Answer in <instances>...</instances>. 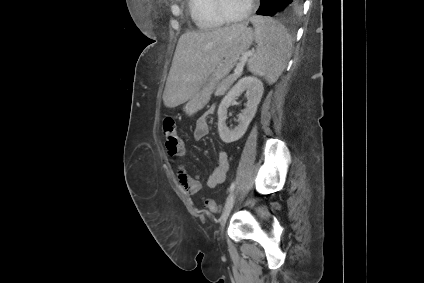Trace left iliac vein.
Wrapping results in <instances>:
<instances>
[{"label": "left iliac vein", "mask_w": 424, "mask_h": 283, "mask_svg": "<svg viewBox=\"0 0 424 283\" xmlns=\"http://www.w3.org/2000/svg\"><path fill=\"white\" fill-rule=\"evenodd\" d=\"M236 196H237V193L233 192L229 195V197L226 201L223 213L221 215V227L222 228L224 227L225 222H226V220H227V218H228V216H229V214H230V212H231V210H232V208L235 204Z\"/></svg>", "instance_id": "4c4485c4"}]
</instances>
